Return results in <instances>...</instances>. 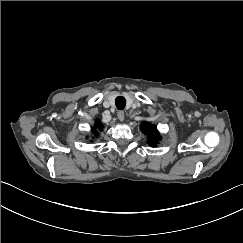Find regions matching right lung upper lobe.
<instances>
[{"label":"right lung upper lobe","mask_w":243,"mask_h":243,"mask_svg":"<svg viewBox=\"0 0 243 243\" xmlns=\"http://www.w3.org/2000/svg\"><path fill=\"white\" fill-rule=\"evenodd\" d=\"M96 128H99L100 130L102 129V126L99 123V121L96 122L95 127L93 128V132L95 131Z\"/></svg>","instance_id":"1"}]
</instances>
